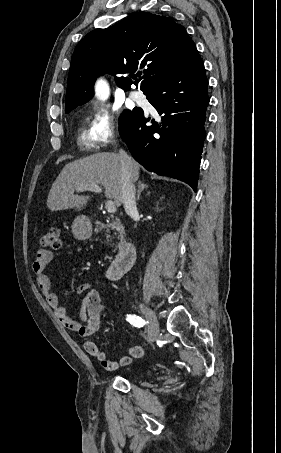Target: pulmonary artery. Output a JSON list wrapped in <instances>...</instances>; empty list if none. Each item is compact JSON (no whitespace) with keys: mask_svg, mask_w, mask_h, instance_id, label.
Returning <instances> with one entry per match:
<instances>
[{"mask_svg":"<svg viewBox=\"0 0 281 453\" xmlns=\"http://www.w3.org/2000/svg\"><path fill=\"white\" fill-rule=\"evenodd\" d=\"M129 97L136 103L143 105L148 111H154V107L147 97L140 91H132Z\"/></svg>","mask_w":281,"mask_h":453,"instance_id":"e3ab8cb5","label":"pulmonary artery"}]
</instances>
